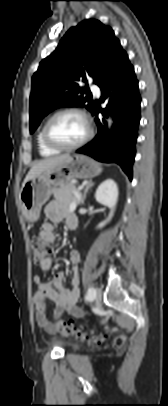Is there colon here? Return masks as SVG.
I'll use <instances>...</instances> for the list:
<instances>
[{
	"label": "colon",
	"mask_w": 168,
	"mask_h": 406,
	"mask_svg": "<svg viewBox=\"0 0 168 406\" xmlns=\"http://www.w3.org/2000/svg\"><path fill=\"white\" fill-rule=\"evenodd\" d=\"M31 248L33 253V260L36 264H43L52 254L53 248L52 245L42 240L40 237H34L31 240ZM53 326L56 330L61 332L64 335H75L79 337H87L86 334L82 333L79 330H76L72 323L64 319H56L53 322ZM90 339L96 343L102 342L103 337L99 335H92ZM125 343V339L122 336L117 337L114 340V346L116 348H122Z\"/></svg>",
	"instance_id": "5ec220e1"
}]
</instances>
